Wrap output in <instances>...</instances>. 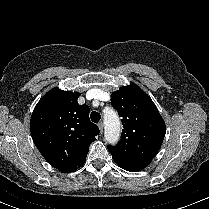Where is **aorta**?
Listing matches in <instances>:
<instances>
[{
  "mask_svg": "<svg viewBox=\"0 0 209 209\" xmlns=\"http://www.w3.org/2000/svg\"><path fill=\"white\" fill-rule=\"evenodd\" d=\"M105 139L109 144H116L120 138V119L118 114L109 109L104 112Z\"/></svg>",
  "mask_w": 209,
  "mask_h": 209,
  "instance_id": "obj_1",
  "label": "aorta"
}]
</instances>
